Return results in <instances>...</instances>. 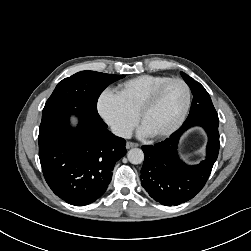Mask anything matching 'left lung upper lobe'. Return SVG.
<instances>
[{
  "label": "left lung upper lobe",
  "instance_id": "obj_1",
  "mask_svg": "<svg viewBox=\"0 0 251 251\" xmlns=\"http://www.w3.org/2000/svg\"><path fill=\"white\" fill-rule=\"evenodd\" d=\"M180 74L190 87L193 94L190 113L185 122L203 118L218 119V114L205 88L184 72H181Z\"/></svg>",
  "mask_w": 251,
  "mask_h": 251
}]
</instances>
